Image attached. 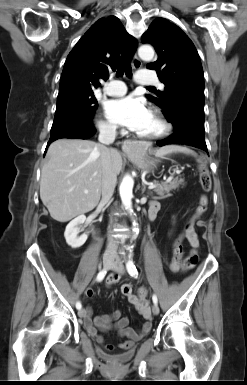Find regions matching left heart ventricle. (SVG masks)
Instances as JSON below:
<instances>
[{
	"mask_svg": "<svg viewBox=\"0 0 247 385\" xmlns=\"http://www.w3.org/2000/svg\"><path fill=\"white\" fill-rule=\"evenodd\" d=\"M159 129H160V124L158 123L156 118L151 114L145 126L140 131H138V134H141V135L153 134L157 132Z\"/></svg>",
	"mask_w": 247,
	"mask_h": 385,
	"instance_id": "left-heart-ventricle-1",
	"label": "left heart ventricle"
}]
</instances>
